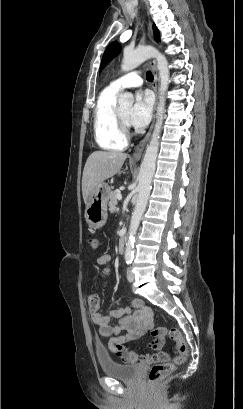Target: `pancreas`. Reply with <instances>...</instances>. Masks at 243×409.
<instances>
[{
	"mask_svg": "<svg viewBox=\"0 0 243 409\" xmlns=\"http://www.w3.org/2000/svg\"><path fill=\"white\" fill-rule=\"evenodd\" d=\"M120 193V191L115 190L111 193L110 201H109V211L114 213L116 211V206L118 204L117 202V195Z\"/></svg>",
	"mask_w": 243,
	"mask_h": 409,
	"instance_id": "1",
	"label": "pancreas"
}]
</instances>
